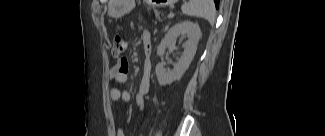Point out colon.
<instances>
[{"instance_id": "5ec220e1", "label": "colon", "mask_w": 325, "mask_h": 136, "mask_svg": "<svg viewBox=\"0 0 325 136\" xmlns=\"http://www.w3.org/2000/svg\"><path fill=\"white\" fill-rule=\"evenodd\" d=\"M127 49V42L121 35H116L113 40L112 54L116 57L122 55Z\"/></svg>"}]
</instances>
